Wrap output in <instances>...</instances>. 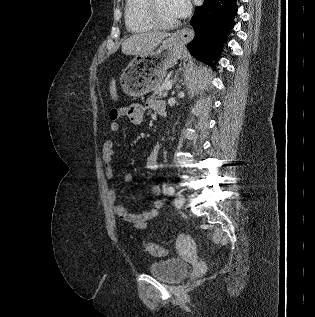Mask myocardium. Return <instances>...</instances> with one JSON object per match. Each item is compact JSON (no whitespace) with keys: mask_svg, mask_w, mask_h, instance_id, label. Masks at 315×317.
Segmentation results:
<instances>
[{"mask_svg":"<svg viewBox=\"0 0 315 317\" xmlns=\"http://www.w3.org/2000/svg\"><path fill=\"white\" fill-rule=\"evenodd\" d=\"M156 2L157 0H146L145 4V17L148 22L157 29H171L179 25V20H175L172 22H162L158 16L156 11Z\"/></svg>","mask_w":315,"mask_h":317,"instance_id":"f54148a6","label":"myocardium"}]
</instances>
